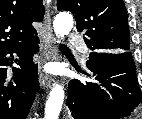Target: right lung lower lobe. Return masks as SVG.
<instances>
[{"label":"right lung lower lobe","mask_w":142,"mask_h":119,"mask_svg":"<svg viewBox=\"0 0 142 119\" xmlns=\"http://www.w3.org/2000/svg\"><path fill=\"white\" fill-rule=\"evenodd\" d=\"M37 35V34H36ZM34 35L18 46L0 50V119H26L38 90V67L33 55L39 49V38ZM13 53L19 59L14 60ZM15 61L12 82L8 83L7 66Z\"/></svg>","instance_id":"1"}]
</instances>
